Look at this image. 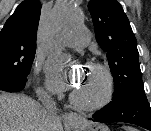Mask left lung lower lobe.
Instances as JSON below:
<instances>
[{"instance_id": "1", "label": "left lung lower lobe", "mask_w": 151, "mask_h": 131, "mask_svg": "<svg viewBox=\"0 0 151 131\" xmlns=\"http://www.w3.org/2000/svg\"><path fill=\"white\" fill-rule=\"evenodd\" d=\"M101 123L125 122L151 131V108L144 87H134L113 99L91 118Z\"/></svg>"}]
</instances>
